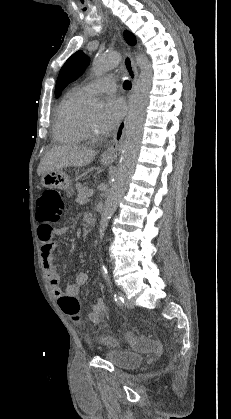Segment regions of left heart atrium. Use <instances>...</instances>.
<instances>
[{
	"label": "left heart atrium",
	"instance_id": "obj_1",
	"mask_svg": "<svg viewBox=\"0 0 231 419\" xmlns=\"http://www.w3.org/2000/svg\"><path fill=\"white\" fill-rule=\"evenodd\" d=\"M124 113L125 106L123 101L118 97H109L97 120L99 131L107 133L113 130L123 117Z\"/></svg>",
	"mask_w": 231,
	"mask_h": 419
}]
</instances>
